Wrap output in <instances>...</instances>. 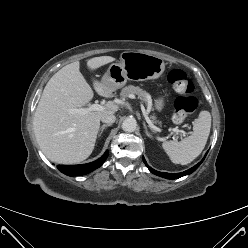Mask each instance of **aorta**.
I'll list each match as a JSON object with an SVG mask.
<instances>
[{
  "label": "aorta",
  "mask_w": 248,
  "mask_h": 248,
  "mask_svg": "<svg viewBox=\"0 0 248 248\" xmlns=\"http://www.w3.org/2000/svg\"><path fill=\"white\" fill-rule=\"evenodd\" d=\"M137 127V122L132 117H127L122 123V129L126 132H134Z\"/></svg>",
  "instance_id": "1"
}]
</instances>
